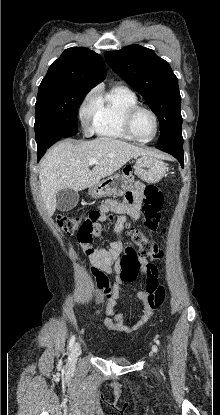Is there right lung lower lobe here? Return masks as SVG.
I'll return each instance as SVG.
<instances>
[{
	"instance_id": "obj_1",
	"label": "right lung lower lobe",
	"mask_w": 220,
	"mask_h": 415,
	"mask_svg": "<svg viewBox=\"0 0 220 415\" xmlns=\"http://www.w3.org/2000/svg\"><path fill=\"white\" fill-rule=\"evenodd\" d=\"M46 149H48V148H40V149H38V151H37L38 161L44 155V153L46 152Z\"/></svg>"
}]
</instances>
